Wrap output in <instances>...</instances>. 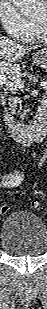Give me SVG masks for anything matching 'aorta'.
Returning a JSON list of instances; mask_svg holds the SVG:
<instances>
[{"label": "aorta", "instance_id": "aorta-1", "mask_svg": "<svg viewBox=\"0 0 47 309\" xmlns=\"http://www.w3.org/2000/svg\"><path fill=\"white\" fill-rule=\"evenodd\" d=\"M23 16H31L37 9V0H13Z\"/></svg>", "mask_w": 47, "mask_h": 309}]
</instances>
